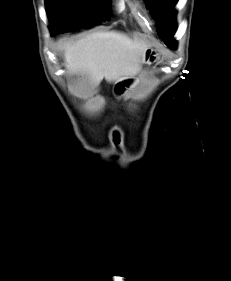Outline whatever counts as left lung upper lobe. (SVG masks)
Here are the masks:
<instances>
[{"label": "left lung upper lobe", "mask_w": 231, "mask_h": 281, "mask_svg": "<svg viewBox=\"0 0 231 281\" xmlns=\"http://www.w3.org/2000/svg\"><path fill=\"white\" fill-rule=\"evenodd\" d=\"M178 0H145L147 8L151 9L152 15L156 19L159 27V36L172 49H175V41L172 34L176 31L174 23L176 12L174 6Z\"/></svg>", "instance_id": "5c2ea615"}]
</instances>
